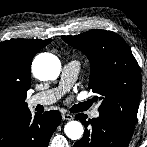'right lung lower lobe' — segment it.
Instances as JSON below:
<instances>
[{
  "label": "right lung lower lobe",
  "mask_w": 147,
  "mask_h": 147,
  "mask_svg": "<svg viewBox=\"0 0 147 147\" xmlns=\"http://www.w3.org/2000/svg\"><path fill=\"white\" fill-rule=\"evenodd\" d=\"M61 121L59 111L36 113L28 110L0 125V147H48L53 132Z\"/></svg>",
  "instance_id": "obj_1"
}]
</instances>
